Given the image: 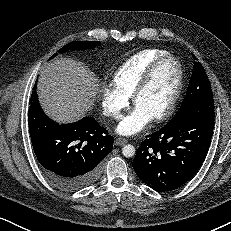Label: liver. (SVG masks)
I'll use <instances>...</instances> for the list:
<instances>
[{"label":"liver","instance_id":"liver-1","mask_svg":"<svg viewBox=\"0 0 231 231\" xmlns=\"http://www.w3.org/2000/svg\"><path fill=\"white\" fill-rule=\"evenodd\" d=\"M98 79L81 63L59 58L41 69L38 95L45 113L69 123L79 120L94 104Z\"/></svg>","mask_w":231,"mask_h":231}]
</instances>
